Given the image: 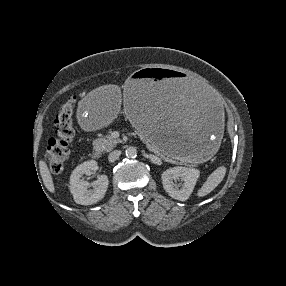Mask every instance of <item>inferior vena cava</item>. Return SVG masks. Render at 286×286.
<instances>
[{
    "mask_svg": "<svg viewBox=\"0 0 286 286\" xmlns=\"http://www.w3.org/2000/svg\"><path fill=\"white\" fill-rule=\"evenodd\" d=\"M120 155H121V151L120 150H115V151L111 152L109 154V156H108L109 162L116 161L119 158Z\"/></svg>",
    "mask_w": 286,
    "mask_h": 286,
    "instance_id": "1",
    "label": "inferior vena cava"
}]
</instances>
